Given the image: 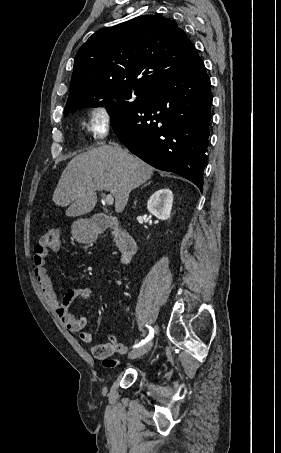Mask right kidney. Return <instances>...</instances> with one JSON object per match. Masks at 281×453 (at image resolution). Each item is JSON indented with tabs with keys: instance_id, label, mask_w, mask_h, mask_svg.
Listing matches in <instances>:
<instances>
[{
	"instance_id": "right-kidney-1",
	"label": "right kidney",
	"mask_w": 281,
	"mask_h": 453,
	"mask_svg": "<svg viewBox=\"0 0 281 453\" xmlns=\"http://www.w3.org/2000/svg\"><path fill=\"white\" fill-rule=\"evenodd\" d=\"M173 202V194L170 188H160L151 194L147 208L149 212H152L157 218L166 220L169 218Z\"/></svg>"
}]
</instances>
